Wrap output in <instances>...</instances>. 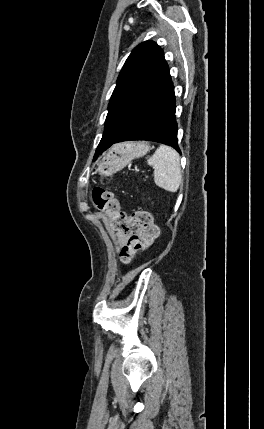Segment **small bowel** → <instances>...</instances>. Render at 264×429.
I'll use <instances>...</instances> for the list:
<instances>
[{"instance_id": "small-bowel-1", "label": "small bowel", "mask_w": 264, "mask_h": 429, "mask_svg": "<svg viewBox=\"0 0 264 429\" xmlns=\"http://www.w3.org/2000/svg\"><path fill=\"white\" fill-rule=\"evenodd\" d=\"M129 237H130L129 233L122 232L118 235L117 240L120 244L125 245L127 244Z\"/></svg>"}]
</instances>
